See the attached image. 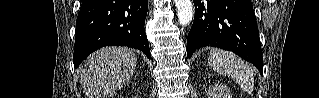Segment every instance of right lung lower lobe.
Returning a JSON list of instances; mask_svg holds the SVG:
<instances>
[{
    "instance_id": "98d812e1",
    "label": "right lung lower lobe",
    "mask_w": 319,
    "mask_h": 98,
    "mask_svg": "<svg viewBox=\"0 0 319 98\" xmlns=\"http://www.w3.org/2000/svg\"><path fill=\"white\" fill-rule=\"evenodd\" d=\"M148 0H82L76 22L73 62L103 46H129L150 59L144 24Z\"/></svg>"
}]
</instances>
